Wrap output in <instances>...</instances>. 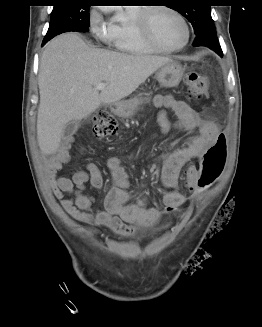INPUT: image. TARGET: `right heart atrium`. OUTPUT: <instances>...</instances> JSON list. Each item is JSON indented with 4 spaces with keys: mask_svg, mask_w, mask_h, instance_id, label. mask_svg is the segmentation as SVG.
<instances>
[{
    "mask_svg": "<svg viewBox=\"0 0 262 327\" xmlns=\"http://www.w3.org/2000/svg\"><path fill=\"white\" fill-rule=\"evenodd\" d=\"M89 28L91 32L103 42H111L113 38L112 25L104 20L102 13L92 10L89 15Z\"/></svg>",
    "mask_w": 262,
    "mask_h": 327,
    "instance_id": "obj_1",
    "label": "right heart atrium"
}]
</instances>
